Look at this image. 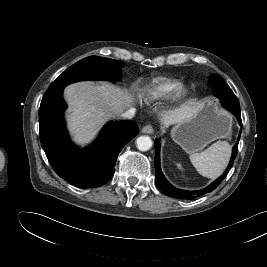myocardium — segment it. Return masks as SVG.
<instances>
[{
    "mask_svg": "<svg viewBox=\"0 0 267 267\" xmlns=\"http://www.w3.org/2000/svg\"><path fill=\"white\" fill-rule=\"evenodd\" d=\"M189 95L188 88L184 85H179L171 94L169 99L170 106H177L184 102Z\"/></svg>",
    "mask_w": 267,
    "mask_h": 267,
    "instance_id": "f54148a6",
    "label": "myocardium"
}]
</instances>
